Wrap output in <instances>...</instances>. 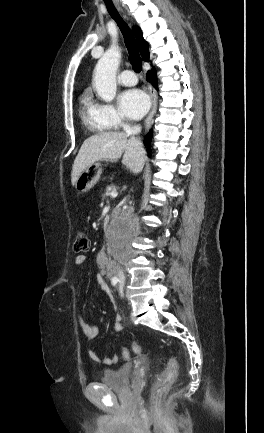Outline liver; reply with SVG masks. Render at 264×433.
<instances>
[{
    "instance_id": "1",
    "label": "liver",
    "mask_w": 264,
    "mask_h": 433,
    "mask_svg": "<svg viewBox=\"0 0 264 433\" xmlns=\"http://www.w3.org/2000/svg\"><path fill=\"white\" fill-rule=\"evenodd\" d=\"M122 157V164L133 173H139L146 156L143 145L135 137L127 139L123 132H102L87 138L76 156L71 172L74 186L79 175L92 163L105 160L116 162Z\"/></svg>"
}]
</instances>
